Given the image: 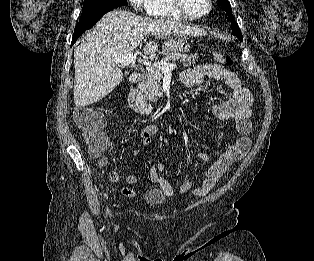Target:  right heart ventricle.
<instances>
[{
	"mask_svg": "<svg viewBox=\"0 0 314 261\" xmlns=\"http://www.w3.org/2000/svg\"><path fill=\"white\" fill-rule=\"evenodd\" d=\"M148 14L154 17H164L185 20V17L178 11L171 0H151L148 7Z\"/></svg>",
	"mask_w": 314,
	"mask_h": 261,
	"instance_id": "obj_1",
	"label": "right heart ventricle"
}]
</instances>
